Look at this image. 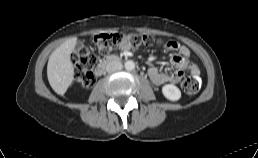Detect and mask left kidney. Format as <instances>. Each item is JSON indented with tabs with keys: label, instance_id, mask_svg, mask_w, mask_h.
<instances>
[{
	"label": "left kidney",
	"instance_id": "left-kidney-1",
	"mask_svg": "<svg viewBox=\"0 0 258 158\" xmlns=\"http://www.w3.org/2000/svg\"><path fill=\"white\" fill-rule=\"evenodd\" d=\"M162 93L170 101H177L181 98V91L173 84H166L162 87Z\"/></svg>",
	"mask_w": 258,
	"mask_h": 158
}]
</instances>
